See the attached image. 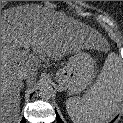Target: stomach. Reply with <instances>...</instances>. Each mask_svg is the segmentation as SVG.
<instances>
[{
  "label": "stomach",
  "mask_w": 123,
  "mask_h": 123,
  "mask_svg": "<svg viewBox=\"0 0 123 123\" xmlns=\"http://www.w3.org/2000/svg\"><path fill=\"white\" fill-rule=\"evenodd\" d=\"M71 26L77 33L88 32V29L80 24L72 23ZM84 50V48L74 49L68 63L55 73V80L64 85L70 95L82 93L94 74V63Z\"/></svg>",
  "instance_id": "stomach-1"
}]
</instances>
